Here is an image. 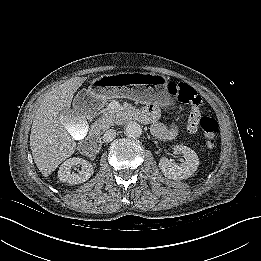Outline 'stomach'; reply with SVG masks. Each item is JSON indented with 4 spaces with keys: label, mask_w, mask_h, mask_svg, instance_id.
<instances>
[{
    "label": "stomach",
    "mask_w": 261,
    "mask_h": 261,
    "mask_svg": "<svg viewBox=\"0 0 261 261\" xmlns=\"http://www.w3.org/2000/svg\"><path fill=\"white\" fill-rule=\"evenodd\" d=\"M167 80L153 73H119L103 75L92 81L87 92L90 95L91 112L99 110L107 99L130 98L143 103L167 104Z\"/></svg>",
    "instance_id": "0dacf381"
}]
</instances>
